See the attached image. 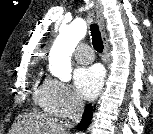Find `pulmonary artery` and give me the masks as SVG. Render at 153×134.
Returning <instances> with one entry per match:
<instances>
[{
  "mask_svg": "<svg viewBox=\"0 0 153 134\" xmlns=\"http://www.w3.org/2000/svg\"><path fill=\"white\" fill-rule=\"evenodd\" d=\"M74 57L79 63H90L94 59L93 52L87 44H80L74 52Z\"/></svg>",
  "mask_w": 153,
  "mask_h": 134,
  "instance_id": "e3ab8cb5",
  "label": "pulmonary artery"
}]
</instances>
